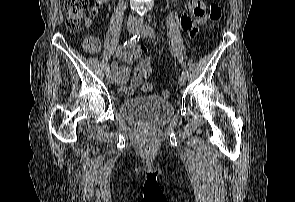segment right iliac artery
Wrapping results in <instances>:
<instances>
[{"mask_svg":"<svg viewBox=\"0 0 295 202\" xmlns=\"http://www.w3.org/2000/svg\"><path fill=\"white\" fill-rule=\"evenodd\" d=\"M140 37H141V35L139 33H136L130 40L124 42L123 45L120 46V49H121V47L122 48L134 47L138 43V41L140 40ZM109 72H110V66H108L106 68V73H109Z\"/></svg>","mask_w":295,"mask_h":202,"instance_id":"obj_1","label":"right iliac artery"}]
</instances>
